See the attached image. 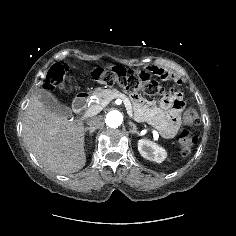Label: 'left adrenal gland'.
<instances>
[{
    "label": "left adrenal gland",
    "mask_w": 236,
    "mask_h": 236,
    "mask_svg": "<svg viewBox=\"0 0 236 236\" xmlns=\"http://www.w3.org/2000/svg\"><path fill=\"white\" fill-rule=\"evenodd\" d=\"M129 125L132 126V129L130 130V133L140 135L137 131V127L133 122H129Z\"/></svg>",
    "instance_id": "left-adrenal-gland-1"
}]
</instances>
